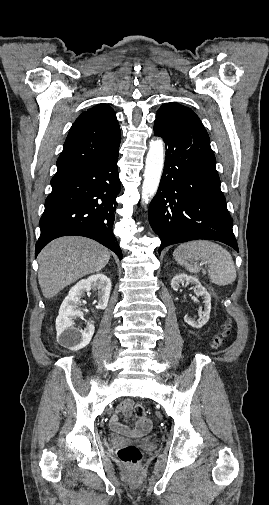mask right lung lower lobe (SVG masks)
Returning <instances> with one entry per match:
<instances>
[{
  "mask_svg": "<svg viewBox=\"0 0 269 505\" xmlns=\"http://www.w3.org/2000/svg\"><path fill=\"white\" fill-rule=\"evenodd\" d=\"M119 147L112 152L71 169L57 172L52 192L40 219L41 234L35 256L51 240L67 235L98 241L122 258L112 234L116 197L120 192L117 161Z\"/></svg>",
  "mask_w": 269,
  "mask_h": 505,
  "instance_id": "obj_1",
  "label": "right lung lower lobe"
}]
</instances>
